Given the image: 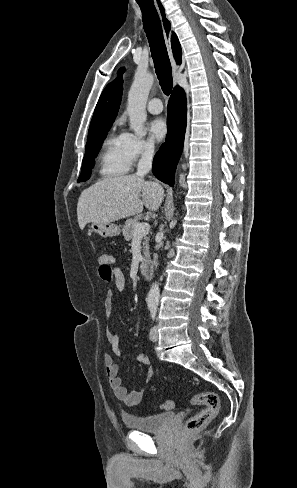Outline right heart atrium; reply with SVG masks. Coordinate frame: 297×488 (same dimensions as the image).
<instances>
[{"label":"right heart atrium","instance_id":"right-heart-atrium-1","mask_svg":"<svg viewBox=\"0 0 297 488\" xmlns=\"http://www.w3.org/2000/svg\"><path fill=\"white\" fill-rule=\"evenodd\" d=\"M125 156L130 164L153 156L155 145L152 141L138 137L130 132L121 134Z\"/></svg>","mask_w":297,"mask_h":488}]
</instances>
